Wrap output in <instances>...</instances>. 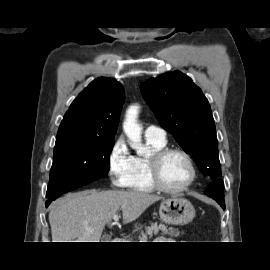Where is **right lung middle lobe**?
Listing matches in <instances>:
<instances>
[{
  "label": "right lung middle lobe",
  "mask_w": 270,
  "mask_h": 270,
  "mask_svg": "<svg viewBox=\"0 0 270 270\" xmlns=\"http://www.w3.org/2000/svg\"><path fill=\"white\" fill-rule=\"evenodd\" d=\"M113 146L114 139L56 137L46 197L56 199L104 176L109 171Z\"/></svg>",
  "instance_id": "dd1d6c3e"
}]
</instances>
